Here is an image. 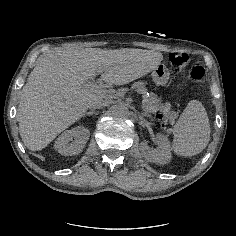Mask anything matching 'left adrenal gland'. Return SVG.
<instances>
[{
  "instance_id": "left-adrenal-gland-1",
  "label": "left adrenal gland",
  "mask_w": 236,
  "mask_h": 236,
  "mask_svg": "<svg viewBox=\"0 0 236 236\" xmlns=\"http://www.w3.org/2000/svg\"><path fill=\"white\" fill-rule=\"evenodd\" d=\"M140 116H141V117H147V118H148L150 115H149L148 113H146V112H141V113H140Z\"/></svg>"
}]
</instances>
